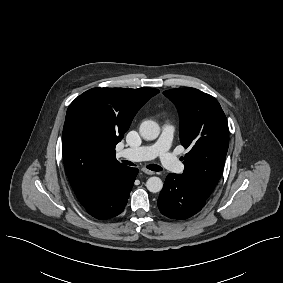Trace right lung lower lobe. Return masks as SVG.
Listing matches in <instances>:
<instances>
[{
	"label": "right lung lower lobe",
	"instance_id": "right-lung-lower-lobe-1",
	"mask_svg": "<svg viewBox=\"0 0 283 283\" xmlns=\"http://www.w3.org/2000/svg\"><path fill=\"white\" fill-rule=\"evenodd\" d=\"M138 169L127 166L109 172L99 180L91 201L83 205L93 217L104 220L119 215L133 187Z\"/></svg>",
	"mask_w": 283,
	"mask_h": 283
}]
</instances>
